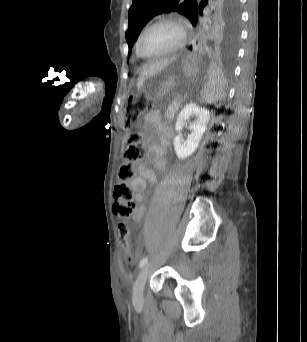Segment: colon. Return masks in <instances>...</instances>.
I'll use <instances>...</instances> for the list:
<instances>
[{"mask_svg":"<svg viewBox=\"0 0 307 342\" xmlns=\"http://www.w3.org/2000/svg\"><path fill=\"white\" fill-rule=\"evenodd\" d=\"M147 109V103L144 100L132 99L124 114L125 123L128 128L135 125L140 116ZM122 163L118 166L116 172V182L114 185L113 197L115 200V213L120 218L118 224L119 242L122 248L129 249L131 246V229L129 220L134 211L132 202V190L129 187V181L135 176V165L145 160L146 149L142 144V136L139 132L133 131L130 134V142L121 153ZM132 259V256H129ZM131 264V261H128Z\"/></svg>","mask_w":307,"mask_h":342,"instance_id":"colon-1","label":"colon"}]
</instances>
